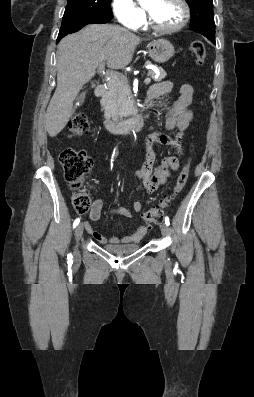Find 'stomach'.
<instances>
[{"label":"stomach","instance_id":"0dacf381","mask_svg":"<svg viewBox=\"0 0 254 397\" xmlns=\"http://www.w3.org/2000/svg\"><path fill=\"white\" fill-rule=\"evenodd\" d=\"M148 52L155 62L165 63L174 55V47L166 39H157L149 43Z\"/></svg>","mask_w":254,"mask_h":397}]
</instances>
